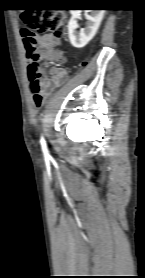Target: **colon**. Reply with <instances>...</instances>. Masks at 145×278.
Wrapping results in <instances>:
<instances>
[{"mask_svg":"<svg viewBox=\"0 0 145 278\" xmlns=\"http://www.w3.org/2000/svg\"><path fill=\"white\" fill-rule=\"evenodd\" d=\"M24 28L20 31L22 43L25 49V55L28 64V81L33 96V104L40 108L45 94L40 86L41 74L38 66L42 62L55 63L61 55L54 44H39L37 34H52L57 37H63L67 33V27L64 16L56 13H38L27 12L21 16ZM51 81L50 84H55Z\"/></svg>","mask_w":145,"mask_h":278,"instance_id":"colon-1","label":"colon"}]
</instances>
